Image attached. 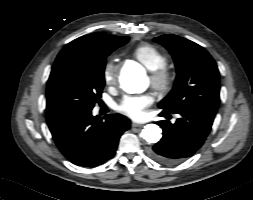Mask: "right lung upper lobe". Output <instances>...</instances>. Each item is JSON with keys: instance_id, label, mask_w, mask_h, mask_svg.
Masks as SVG:
<instances>
[{"instance_id": "right-lung-upper-lobe-1", "label": "right lung upper lobe", "mask_w": 253, "mask_h": 200, "mask_svg": "<svg viewBox=\"0 0 253 200\" xmlns=\"http://www.w3.org/2000/svg\"><path fill=\"white\" fill-rule=\"evenodd\" d=\"M118 36L108 35L104 33H93L79 37L67 44L60 54H84L90 55L100 51V49L115 40Z\"/></svg>"}]
</instances>
